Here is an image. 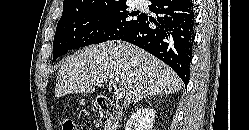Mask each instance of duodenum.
<instances>
[{"mask_svg": "<svg viewBox=\"0 0 249 130\" xmlns=\"http://www.w3.org/2000/svg\"><path fill=\"white\" fill-rule=\"evenodd\" d=\"M97 105L101 113L107 116L106 130H117L122 114L121 107L108 97L97 98Z\"/></svg>", "mask_w": 249, "mask_h": 130, "instance_id": "duodenum-1", "label": "duodenum"}]
</instances>
